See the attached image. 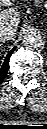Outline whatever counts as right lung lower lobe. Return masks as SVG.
Here are the masks:
<instances>
[{
    "mask_svg": "<svg viewBox=\"0 0 47 129\" xmlns=\"http://www.w3.org/2000/svg\"><path fill=\"white\" fill-rule=\"evenodd\" d=\"M15 50V48H13L8 55L5 58V61L3 63V65L0 68V84L1 82L4 80L5 76L8 73V69H9V58L11 56V54L13 53V51Z\"/></svg>",
    "mask_w": 47,
    "mask_h": 129,
    "instance_id": "obj_1",
    "label": "right lung lower lobe"
}]
</instances>
